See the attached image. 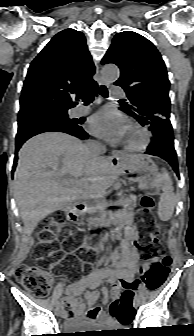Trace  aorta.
<instances>
[{
  "mask_svg": "<svg viewBox=\"0 0 194 336\" xmlns=\"http://www.w3.org/2000/svg\"><path fill=\"white\" fill-rule=\"evenodd\" d=\"M102 77L109 82L115 81L119 77V69L116 65H106L101 71Z\"/></svg>",
  "mask_w": 194,
  "mask_h": 336,
  "instance_id": "1",
  "label": "aorta"
}]
</instances>
